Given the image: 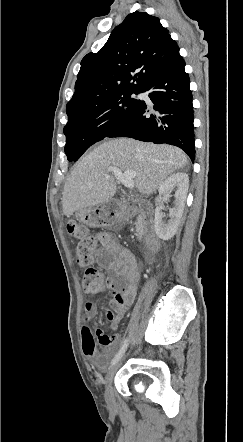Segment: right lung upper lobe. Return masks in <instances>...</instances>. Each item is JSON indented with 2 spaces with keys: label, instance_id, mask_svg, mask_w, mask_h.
Wrapping results in <instances>:
<instances>
[{
  "label": "right lung upper lobe",
  "instance_id": "1",
  "mask_svg": "<svg viewBox=\"0 0 243 442\" xmlns=\"http://www.w3.org/2000/svg\"><path fill=\"white\" fill-rule=\"evenodd\" d=\"M178 51L159 18L146 12L130 13L99 52L82 59L75 93L66 107L68 117L115 95L140 91L147 79Z\"/></svg>",
  "mask_w": 243,
  "mask_h": 442
}]
</instances>
